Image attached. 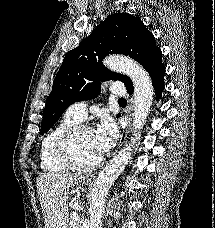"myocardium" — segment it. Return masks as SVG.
Segmentation results:
<instances>
[{"label": "myocardium", "mask_w": 215, "mask_h": 228, "mask_svg": "<svg viewBox=\"0 0 215 228\" xmlns=\"http://www.w3.org/2000/svg\"><path fill=\"white\" fill-rule=\"evenodd\" d=\"M83 129L92 128L85 123H77L65 130L54 144V156L56 160L67 169L87 172L99 168L103 164L104 156L102 155L97 161L91 164H80L74 160L71 155L70 147L76 136Z\"/></svg>", "instance_id": "1"}]
</instances>
